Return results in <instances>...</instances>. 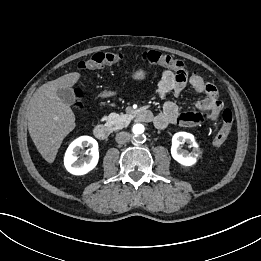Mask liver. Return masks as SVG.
I'll return each instance as SVG.
<instances>
[{
    "label": "liver",
    "mask_w": 261,
    "mask_h": 261,
    "mask_svg": "<svg viewBox=\"0 0 261 261\" xmlns=\"http://www.w3.org/2000/svg\"><path fill=\"white\" fill-rule=\"evenodd\" d=\"M80 73L65 74L39 87L28 105V130L38 152L52 163L63 139L74 130L72 109L57 96L58 89L70 88L77 83Z\"/></svg>",
    "instance_id": "1"
}]
</instances>
